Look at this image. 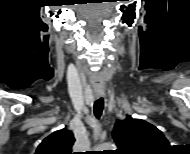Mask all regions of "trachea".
<instances>
[{"mask_svg": "<svg viewBox=\"0 0 190 154\" xmlns=\"http://www.w3.org/2000/svg\"><path fill=\"white\" fill-rule=\"evenodd\" d=\"M103 107H104V102L102 98H99L94 102V115L96 116V118L101 117Z\"/></svg>", "mask_w": 190, "mask_h": 154, "instance_id": "1", "label": "trachea"}]
</instances>
